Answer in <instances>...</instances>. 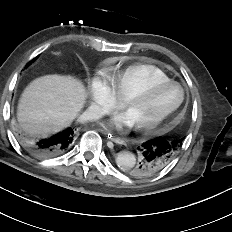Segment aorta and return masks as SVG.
<instances>
[{
  "label": "aorta",
  "mask_w": 232,
  "mask_h": 232,
  "mask_svg": "<svg viewBox=\"0 0 232 232\" xmlns=\"http://www.w3.org/2000/svg\"><path fill=\"white\" fill-rule=\"evenodd\" d=\"M116 163L121 169H130L136 164V157L129 151H121L116 156Z\"/></svg>",
  "instance_id": "1"
}]
</instances>
